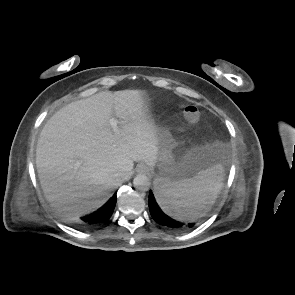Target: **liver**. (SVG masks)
Returning a JSON list of instances; mask_svg holds the SVG:
<instances>
[{"instance_id":"6515ba94","label":"liver","mask_w":295,"mask_h":295,"mask_svg":"<svg viewBox=\"0 0 295 295\" xmlns=\"http://www.w3.org/2000/svg\"><path fill=\"white\" fill-rule=\"evenodd\" d=\"M113 115L118 134L109 124ZM159 145L145 91H102L74 101L47 121L37 142L45 198L59 212H92L132 175L134 162L153 167Z\"/></svg>"}]
</instances>
